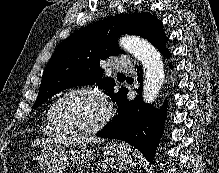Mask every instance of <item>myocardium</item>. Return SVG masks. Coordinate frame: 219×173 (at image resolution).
<instances>
[{"label":"myocardium","mask_w":219,"mask_h":173,"mask_svg":"<svg viewBox=\"0 0 219 173\" xmlns=\"http://www.w3.org/2000/svg\"><path fill=\"white\" fill-rule=\"evenodd\" d=\"M77 93H87V94H92L96 96L103 103L104 108H105V113L103 117L100 119V121L94 126L88 129H85V130L70 129L63 123L61 119L60 110H61L62 103L69 96L77 94ZM112 117H113V109L110 103L108 102L106 96L104 95L102 90L94 86H78V87H74L66 91L55 101L54 108H53V118H54L55 124L63 132V134L67 136H71V137H86V136H90L95 133H98L99 131H101L103 128L107 126V124L110 122Z\"/></svg>","instance_id":"f54148a6"}]
</instances>
